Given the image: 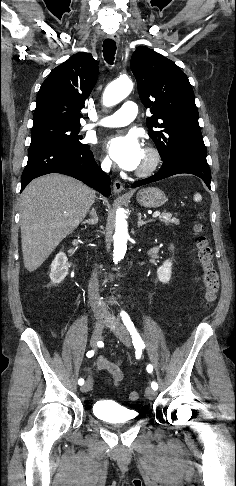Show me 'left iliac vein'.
Returning <instances> with one entry per match:
<instances>
[{
	"instance_id": "1",
	"label": "left iliac vein",
	"mask_w": 236,
	"mask_h": 486,
	"mask_svg": "<svg viewBox=\"0 0 236 486\" xmlns=\"http://www.w3.org/2000/svg\"><path fill=\"white\" fill-rule=\"evenodd\" d=\"M112 331L125 346L129 347L131 345L129 333L123 324L116 321L115 327L112 329ZM145 394L148 399H154L157 393L151 387H147Z\"/></svg>"
}]
</instances>
